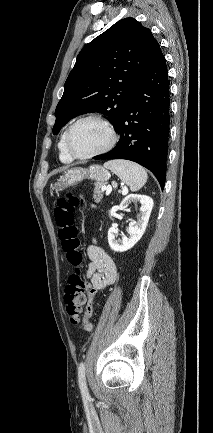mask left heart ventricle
<instances>
[{
    "instance_id": "b2bd125f",
    "label": "left heart ventricle",
    "mask_w": 213,
    "mask_h": 433,
    "mask_svg": "<svg viewBox=\"0 0 213 433\" xmlns=\"http://www.w3.org/2000/svg\"><path fill=\"white\" fill-rule=\"evenodd\" d=\"M109 140L106 128L100 123L88 120L75 127L71 135V146L75 153L87 155L103 148Z\"/></svg>"
}]
</instances>
